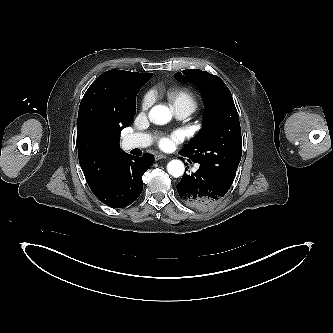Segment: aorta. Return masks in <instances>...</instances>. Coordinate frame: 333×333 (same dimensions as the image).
Listing matches in <instances>:
<instances>
[{
    "label": "aorta",
    "mask_w": 333,
    "mask_h": 333,
    "mask_svg": "<svg viewBox=\"0 0 333 333\" xmlns=\"http://www.w3.org/2000/svg\"><path fill=\"white\" fill-rule=\"evenodd\" d=\"M149 118L154 123L162 125L171 120L172 114L166 106L156 105L150 110ZM167 170L170 175L177 178L183 175L185 168L180 160H172L168 163Z\"/></svg>",
    "instance_id": "1"
}]
</instances>
